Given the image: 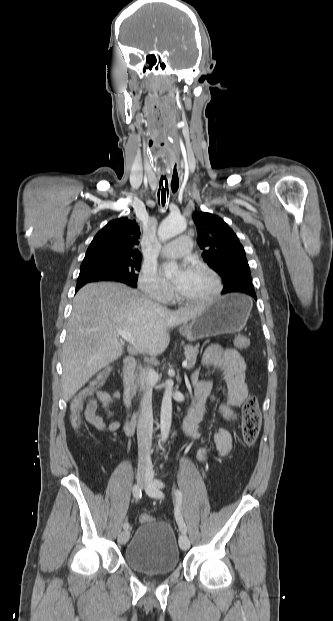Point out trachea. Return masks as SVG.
I'll use <instances>...</instances> for the list:
<instances>
[{
  "mask_svg": "<svg viewBox=\"0 0 333 621\" xmlns=\"http://www.w3.org/2000/svg\"><path fill=\"white\" fill-rule=\"evenodd\" d=\"M166 195L168 197V182H167L166 177L162 176L160 178V184H159V190H158V199L160 202V198H161L162 206L165 205Z\"/></svg>",
  "mask_w": 333,
  "mask_h": 621,
  "instance_id": "obj_1",
  "label": "trachea"
}]
</instances>
